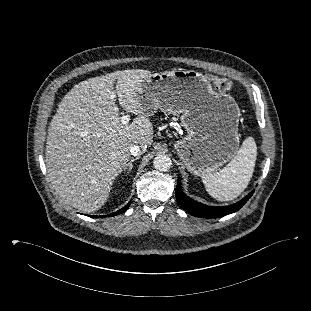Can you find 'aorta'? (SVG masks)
Returning a JSON list of instances; mask_svg holds the SVG:
<instances>
[{
  "label": "aorta",
  "instance_id": "762f6f07",
  "mask_svg": "<svg viewBox=\"0 0 311 311\" xmlns=\"http://www.w3.org/2000/svg\"><path fill=\"white\" fill-rule=\"evenodd\" d=\"M153 165L156 170L168 171L171 168V158L166 154H159L154 158Z\"/></svg>",
  "mask_w": 311,
  "mask_h": 311
}]
</instances>
